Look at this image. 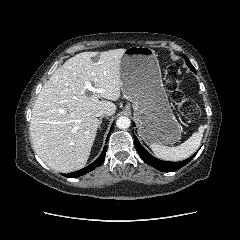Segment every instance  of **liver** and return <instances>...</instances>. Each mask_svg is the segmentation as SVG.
<instances>
[{
	"instance_id": "obj_1",
	"label": "liver",
	"mask_w": 240,
	"mask_h": 240,
	"mask_svg": "<svg viewBox=\"0 0 240 240\" xmlns=\"http://www.w3.org/2000/svg\"><path fill=\"white\" fill-rule=\"evenodd\" d=\"M125 50L79 53L43 86L32 109L30 137L34 151L51 169L68 173L87 163L99 127L97 113L116 112L111 101L120 98ZM87 83L103 91L91 95Z\"/></svg>"
}]
</instances>
